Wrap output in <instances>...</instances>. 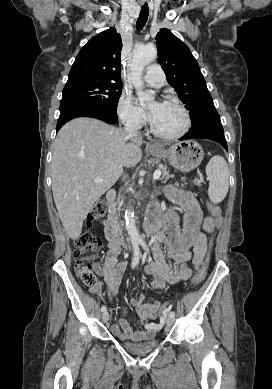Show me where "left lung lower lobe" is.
<instances>
[{
	"instance_id": "left-lung-lower-lobe-1",
	"label": "left lung lower lobe",
	"mask_w": 272,
	"mask_h": 389,
	"mask_svg": "<svg viewBox=\"0 0 272 389\" xmlns=\"http://www.w3.org/2000/svg\"><path fill=\"white\" fill-rule=\"evenodd\" d=\"M198 138L216 141L228 151L224 130L216 109L210 110L201 119L193 122L190 130L180 140Z\"/></svg>"
}]
</instances>
